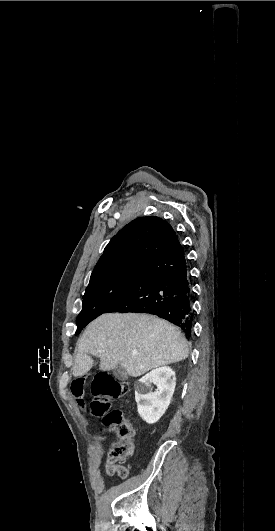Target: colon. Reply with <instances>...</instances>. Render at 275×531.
I'll return each mask as SVG.
<instances>
[{"label":"colon","mask_w":275,"mask_h":531,"mask_svg":"<svg viewBox=\"0 0 275 531\" xmlns=\"http://www.w3.org/2000/svg\"><path fill=\"white\" fill-rule=\"evenodd\" d=\"M89 387L93 397L89 405L92 415L101 418L105 429L112 431L116 436L110 451L109 468L113 472H118L122 478H127L130 467L124 463V460L128 458L132 447L133 422L132 418L121 410L111 407L129 391V384L111 376L105 370L95 373L93 379L86 374L68 379V394L72 395L74 402L83 401V396L88 395ZM79 418L85 419L86 413L80 412Z\"/></svg>","instance_id":"colon-1"}]
</instances>
